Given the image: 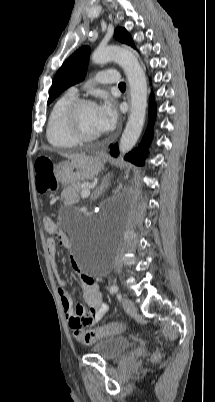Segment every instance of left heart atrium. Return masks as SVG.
<instances>
[{"instance_id":"39dd6f15","label":"left heart atrium","mask_w":215,"mask_h":402,"mask_svg":"<svg viewBox=\"0 0 215 402\" xmlns=\"http://www.w3.org/2000/svg\"><path fill=\"white\" fill-rule=\"evenodd\" d=\"M117 122V113L110 100H104L96 106V123L100 133L110 131Z\"/></svg>"}]
</instances>
